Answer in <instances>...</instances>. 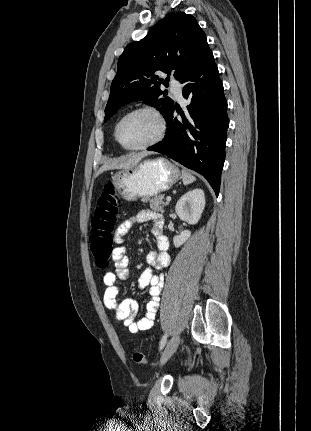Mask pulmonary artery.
I'll list each match as a JSON object with an SVG mask.
<instances>
[{"instance_id":"1","label":"pulmonary artery","mask_w":311,"mask_h":431,"mask_svg":"<svg viewBox=\"0 0 311 431\" xmlns=\"http://www.w3.org/2000/svg\"><path fill=\"white\" fill-rule=\"evenodd\" d=\"M170 89L172 91V93L179 99H182V92H183V88L182 85L180 84V82L178 81H171L170 82Z\"/></svg>"}]
</instances>
